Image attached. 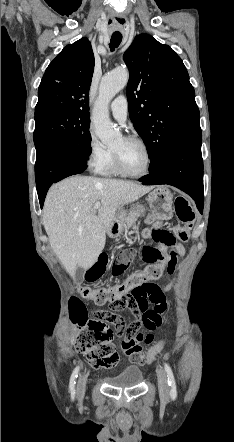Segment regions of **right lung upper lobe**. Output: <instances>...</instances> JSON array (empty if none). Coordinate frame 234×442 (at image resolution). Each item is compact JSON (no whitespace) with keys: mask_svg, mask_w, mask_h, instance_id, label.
<instances>
[{"mask_svg":"<svg viewBox=\"0 0 234 442\" xmlns=\"http://www.w3.org/2000/svg\"><path fill=\"white\" fill-rule=\"evenodd\" d=\"M94 63L87 38L63 48L43 75L35 116L56 111H89L88 94Z\"/></svg>","mask_w":234,"mask_h":442,"instance_id":"obj_1","label":"right lung upper lobe"}]
</instances>
